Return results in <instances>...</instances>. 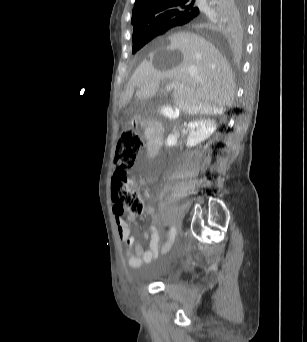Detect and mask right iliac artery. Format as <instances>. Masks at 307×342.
I'll return each instance as SVG.
<instances>
[{
    "mask_svg": "<svg viewBox=\"0 0 307 342\" xmlns=\"http://www.w3.org/2000/svg\"><path fill=\"white\" fill-rule=\"evenodd\" d=\"M175 236H176V229L174 226H171L170 233H169V239L174 240Z\"/></svg>",
    "mask_w": 307,
    "mask_h": 342,
    "instance_id": "1",
    "label": "right iliac artery"
}]
</instances>
